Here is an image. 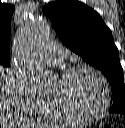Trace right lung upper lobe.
Listing matches in <instances>:
<instances>
[{"label": "right lung upper lobe", "instance_id": "right-lung-upper-lobe-1", "mask_svg": "<svg viewBox=\"0 0 125 128\" xmlns=\"http://www.w3.org/2000/svg\"><path fill=\"white\" fill-rule=\"evenodd\" d=\"M15 6L0 2V59H10L9 37Z\"/></svg>", "mask_w": 125, "mask_h": 128}]
</instances>
